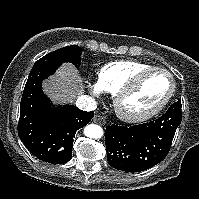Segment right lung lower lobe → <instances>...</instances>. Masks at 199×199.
<instances>
[{
    "instance_id": "1",
    "label": "right lung lower lobe",
    "mask_w": 199,
    "mask_h": 199,
    "mask_svg": "<svg viewBox=\"0 0 199 199\" xmlns=\"http://www.w3.org/2000/svg\"><path fill=\"white\" fill-rule=\"evenodd\" d=\"M61 64L32 68L20 103L18 135L27 149L38 159L63 164L72 157L73 138L87 125L94 112L76 106L53 107L42 91V81Z\"/></svg>"
}]
</instances>
